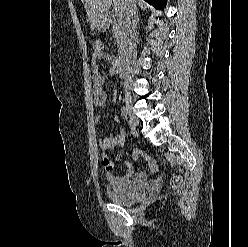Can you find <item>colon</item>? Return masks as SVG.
I'll list each match as a JSON object with an SVG mask.
<instances>
[{
    "label": "colon",
    "instance_id": "colon-1",
    "mask_svg": "<svg viewBox=\"0 0 248 247\" xmlns=\"http://www.w3.org/2000/svg\"><path fill=\"white\" fill-rule=\"evenodd\" d=\"M93 49L96 53H100L103 51V43L101 41H96L93 45ZM132 156L135 160H139V159H145L149 169L152 172H157L159 170V164L156 160L149 158L147 156H145L141 151L139 150H134L132 153ZM181 184V178L180 177H175L172 180V185L173 187H177Z\"/></svg>",
    "mask_w": 248,
    "mask_h": 247
}]
</instances>
